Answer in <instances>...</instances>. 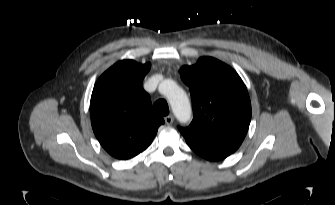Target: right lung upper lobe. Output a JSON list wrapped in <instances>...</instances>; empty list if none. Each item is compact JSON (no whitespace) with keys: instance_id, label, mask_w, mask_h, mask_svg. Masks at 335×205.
I'll list each match as a JSON object with an SVG mask.
<instances>
[{"instance_id":"1","label":"right lung upper lobe","mask_w":335,"mask_h":205,"mask_svg":"<svg viewBox=\"0 0 335 205\" xmlns=\"http://www.w3.org/2000/svg\"><path fill=\"white\" fill-rule=\"evenodd\" d=\"M151 68L122 60L96 82L90 102L91 124L102 147L117 159H130L153 141L162 117L151 109L142 81Z\"/></svg>"}]
</instances>
